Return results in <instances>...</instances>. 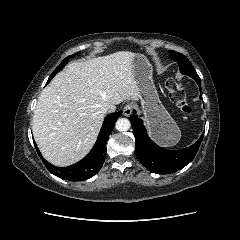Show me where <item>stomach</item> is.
<instances>
[{
	"label": "stomach",
	"mask_w": 240,
	"mask_h": 240,
	"mask_svg": "<svg viewBox=\"0 0 240 240\" xmlns=\"http://www.w3.org/2000/svg\"><path fill=\"white\" fill-rule=\"evenodd\" d=\"M132 72L140 91L141 108L151 137L163 145L177 144L181 131L161 104L153 83L151 64L143 54H135Z\"/></svg>",
	"instance_id": "stomach-1"
}]
</instances>
